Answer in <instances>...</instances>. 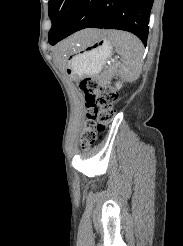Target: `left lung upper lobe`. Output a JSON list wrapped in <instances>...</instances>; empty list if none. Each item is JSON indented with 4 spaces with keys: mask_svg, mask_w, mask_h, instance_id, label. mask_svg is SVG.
Here are the masks:
<instances>
[{
    "mask_svg": "<svg viewBox=\"0 0 183 246\" xmlns=\"http://www.w3.org/2000/svg\"><path fill=\"white\" fill-rule=\"evenodd\" d=\"M78 2L79 0H49L48 12L52 22L49 39L58 35L75 10Z\"/></svg>",
    "mask_w": 183,
    "mask_h": 246,
    "instance_id": "5c2ea615",
    "label": "left lung upper lobe"
}]
</instances>
